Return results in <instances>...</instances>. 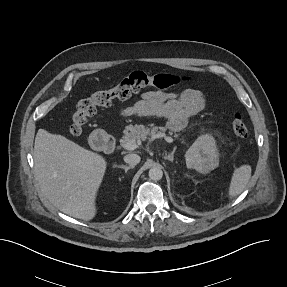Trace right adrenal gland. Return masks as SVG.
<instances>
[{
    "label": "right adrenal gland",
    "mask_w": 287,
    "mask_h": 287,
    "mask_svg": "<svg viewBox=\"0 0 287 287\" xmlns=\"http://www.w3.org/2000/svg\"><path fill=\"white\" fill-rule=\"evenodd\" d=\"M114 167H118V168H121V169H124L125 173H127V171L131 168H133V166H126V165H115Z\"/></svg>",
    "instance_id": "1"
}]
</instances>
